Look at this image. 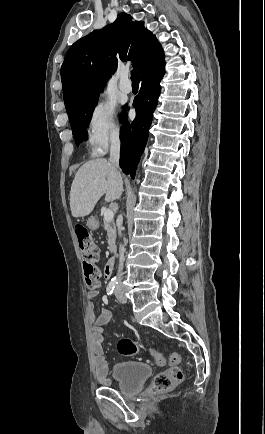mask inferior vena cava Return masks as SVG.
<instances>
[{
	"label": "inferior vena cava",
	"mask_w": 265,
	"mask_h": 434,
	"mask_svg": "<svg viewBox=\"0 0 265 434\" xmlns=\"http://www.w3.org/2000/svg\"><path fill=\"white\" fill-rule=\"evenodd\" d=\"M119 158H120V140H116V138H112L111 140V146H110V158H109V162H111V164H114V166H116V168H118V164H119ZM119 236H121V228H119ZM124 252H125V248H123V246H121L120 244V248H119V274L117 276V280L116 282H118V286H120L123 278V266H124Z\"/></svg>",
	"instance_id": "602c4592"
}]
</instances>
